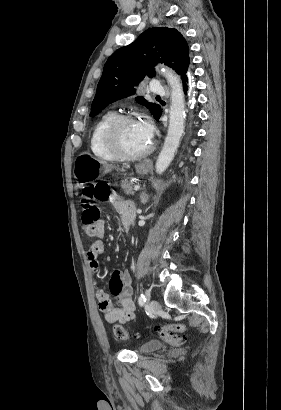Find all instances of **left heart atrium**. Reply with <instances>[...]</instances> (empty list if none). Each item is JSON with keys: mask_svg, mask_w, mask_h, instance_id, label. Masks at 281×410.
<instances>
[{"mask_svg": "<svg viewBox=\"0 0 281 410\" xmlns=\"http://www.w3.org/2000/svg\"><path fill=\"white\" fill-rule=\"evenodd\" d=\"M137 125L147 141H151L154 133V126L150 119L144 117L137 122Z\"/></svg>", "mask_w": 281, "mask_h": 410, "instance_id": "39dd6f15", "label": "left heart atrium"}]
</instances>
